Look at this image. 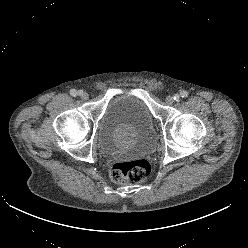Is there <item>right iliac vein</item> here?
Returning a JSON list of instances; mask_svg holds the SVG:
<instances>
[{
	"instance_id": "63e3f726",
	"label": "right iliac vein",
	"mask_w": 248,
	"mask_h": 248,
	"mask_svg": "<svg viewBox=\"0 0 248 248\" xmlns=\"http://www.w3.org/2000/svg\"><path fill=\"white\" fill-rule=\"evenodd\" d=\"M80 97H81L82 100H87L89 95L86 92H81Z\"/></svg>"
}]
</instances>
